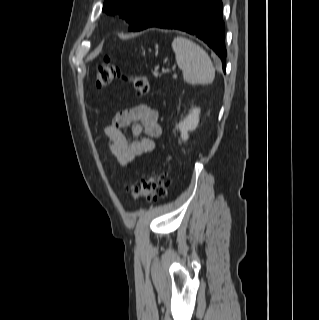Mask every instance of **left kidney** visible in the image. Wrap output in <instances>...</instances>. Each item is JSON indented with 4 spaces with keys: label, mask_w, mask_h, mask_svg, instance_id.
<instances>
[{
    "label": "left kidney",
    "mask_w": 319,
    "mask_h": 320,
    "mask_svg": "<svg viewBox=\"0 0 319 320\" xmlns=\"http://www.w3.org/2000/svg\"><path fill=\"white\" fill-rule=\"evenodd\" d=\"M199 115L200 109L193 108L188 114V116L179 123L178 128L181 132V138L183 141H186L188 139L189 131H193L197 128L199 123Z\"/></svg>",
    "instance_id": "left-kidney-1"
}]
</instances>
